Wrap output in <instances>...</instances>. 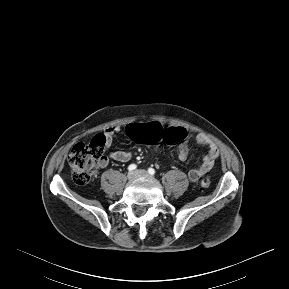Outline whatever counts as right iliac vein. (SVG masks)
<instances>
[{
    "label": "right iliac vein",
    "instance_id": "obj_1",
    "mask_svg": "<svg viewBox=\"0 0 289 289\" xmlns=\"http://www.w3.org/2000/svg\"><path fill=\"white\" fill-rule=\"evenodd\" d=\"M127 177L129 180H134L137 177V174L134 171H130L128 172Z\"/></svg>",
    "mask_w": 289,
    "mask_h": 289
}]
</instances>
